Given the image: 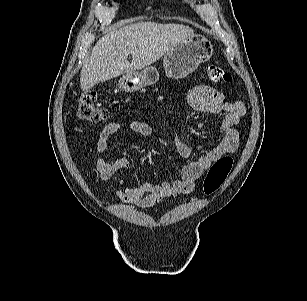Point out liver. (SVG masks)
Segmentation results:
<instances>
[{
  "label": "liver",
  "instance_id": "6515ba94",
  "mask_svg": "<svg viewBox=\"0 0 307 301\" xmlns=\"http://www.w3.org/2000/svg\"><path fill=\"white\" fill-rule=\"evenodd\" d=\"M194 34L182 24L139 22L113 29L98 40L81 70L82 91L155 63L178 42ZM132 61L128 62V55Z\"/></svg>",
  "mask_w": 307,
  "mask_h": 301
}]
</instances>
